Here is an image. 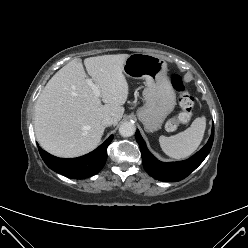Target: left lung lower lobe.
I'll return each mask as SVG.
<instances>
[{
	"label": "left lung lower lobe",
	"mask_w": 248,
	"mask_h": 248,
	"mask_svg": "<svg viewBox=\"0 0 248 248\" xmlns=\"http://www.w3.org/2000/svg\"><path fill=\"white\" fill-rule=\"evenodd\" d=\"M135 138L140 146L143 166L147 173L157 180L176 182L192 173L210 152L214 139V124L207 144L191 158L179 162L166 163L156 159L147 149L139 130L136 131Z\"/></svg>",
	"instance_id": "left-lung-lower-lobe-1"
}]
</instances>
